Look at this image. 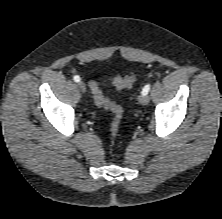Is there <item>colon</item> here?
<instances>
[{"mask_svg":"<svg viewBox=\"0 0 222 219\" xmlns=\"http://www.w3.org/2000/svg\"><path fill=\"white\" fill-rule=\"evenodd\" d=\"M135 79H136L135 74L131 73L126 76L111 77L110 81L117 89H125L132 86ZM91 89L95 103L100 107L108 109L112 113L110 131L113 136H116L122 120L121 106L118 103L106 98L102 93L101 89L96 84L91 85Z\"/></svg>","mask_w":222,"mask_h":219,"instance_id":"1","label":"colon"}]
</instances>
